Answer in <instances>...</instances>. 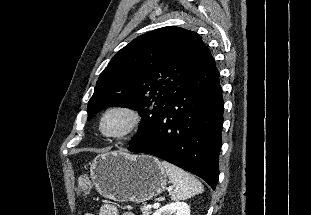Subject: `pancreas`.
I'll use <instances>...</instances> for the list:
<instances>
[{
    "label": "pancreas",
    "mask_w": 311,
    "mask_h": 215,
    "mask_svg": "<svg viewBox=\"0 0 311 215\" xmlns=\"http://www.w3.org/2000/svg\"><path fill=\"white\" fill-rule=\"evenodd\" d=\"M141 212H142V215H150L152 213L151 208H147L145 206L141 208Z\"/></svg>",
    "instance_id": "cf45deb5"
}]
</instances>
